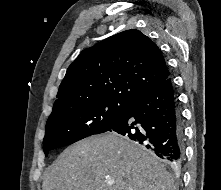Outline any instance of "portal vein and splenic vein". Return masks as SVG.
Here are the masks:
<instances>
[{
	"label": "portal vein and splenic vein",
	"mask_w": 221,
	"mask_h": 190,
	"mask_svg": "<svg viewBox=\"0 0 221 190\" xmlns=\"http://www.w3.org/2000/svg\"><path fill=\"white\" fill-rule=\"evenodd\" d=\"M106 182H107L108 184H113V183H114V180H113L112 178H109V179L106 180Z\"/></svg>",
	"instance_id": "18ae733b"
}]
</instances>
